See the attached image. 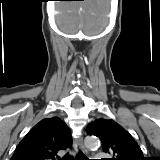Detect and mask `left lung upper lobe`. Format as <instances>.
I'll use <instances>...</instances> for the list:
<instances>
[{
  "mask_svg": "<svg viewBox=\"0 0 160 160\" xmlns=\"http://www.w3.org/2000/svg\"><path fill=\"white\" fill-rule=\"evenodd\" d=\"M86 132L100 138L103 151L114 156L108 160H146L138 143L113 120H95Z\"/></svg>",
  "mask_w": 160,
  "mask_h": 160,
  "instance_id": "1",
  "label": "left lung upper lobe"
}]
</instances>
